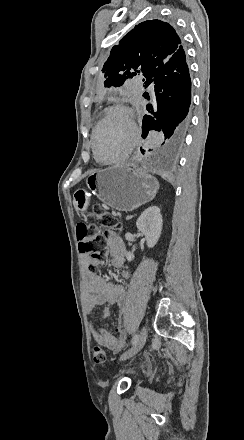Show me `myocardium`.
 Masks as SVG:
<instances>
[{
    "label": "myocardium",
    "mask_w": 244,
    "mask_h": 440,
    "mask_svg": "<svg viewBox=\"0 0 244 440\" xmlns=\"http://www.w3.org/2000/svg\"><path fill=\"white\" fill-rule=\"evenodd\" d=\"M112 111H119V112H123V113H127L131 116L132 119V123L135 127V130L137 129V126L133 120L135 114L134 112L127 106L122 105V104H117L114 105L112 107H110L108 110H106L105 114H104V118L102 120V123L100 122L97 126V128L94 130L93 132V136H92V142H93V156L96 159L97 162L104 164V165H120L123 162H125L128 157H129V152H123L122 154L118 155L117 157H109V158H102L99 156L97 150H96V142L97 137H99V133L100 131L103 129V126L105 125L104 123L107 121L108 116L112 113ZM131 136L127 137V138H123L120 145H118L115 150H117L118 152L123 150L124 146L126 145V143L128 142V140L130 139Z\"/></svg>",
    "instance_id": "obj_1"
}]
</instances>
